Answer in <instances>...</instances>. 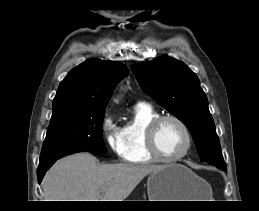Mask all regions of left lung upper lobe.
<instances>
[{
  "label": "left lung upper lobe",
  "instance_id": "1",
  "mask_svg": "<svg viewBox=\"0 0 259 211\" xmlns=\"http://www.w3.org/2000/svg\"><path fill=\"white\" fill-rule=\"evenodd\" d=\"M132 70L144 92L187 126L201 161L226 170L208 100L196 74L167 55L136 64Z\"/></svg>",
  "mask_w": 259,
  "mask_h": 211
}]
</instances>
